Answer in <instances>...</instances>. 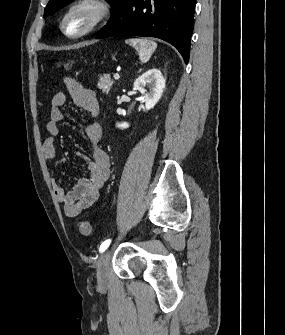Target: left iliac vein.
I'll use <instances>...</instances> for the list:
<instances>
[{
  "label": "left iliac vein",
  "mask_w": 285,
  "mask_h": 335,
  "mask_svg": "<svg viewBox=\"0 0 285 335\" xmlns=\"http://www.w3.org/2000/svg\"><path fill=\"white\" fill-rule=\"evenodd\" d=\"M110 251L102 253L97 268V279L100 285H106L109 280Z\"/></svg>",
  "instance_id": "obj_1"
}]
</instances>
